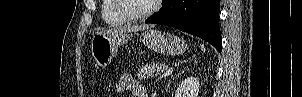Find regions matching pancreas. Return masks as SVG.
Masks as SVG:
<instances>
[{
  "mask_svg": "<svg viewBox=\"0 0 302 97\" xmlns=\"http://www.w3.org/2000/svg\"><path fill=\"white\" fill-rule=\"evenodd\" d=\"M168 68L167 63H151L138 68L137 76L140 79L154 77L155 74L166 71Z\"/></svg>",
  "mask_w": 302,
  "mask_h": 97,
  "instance_id": "1",
  "label": "pancreas"
}]
</instances>
